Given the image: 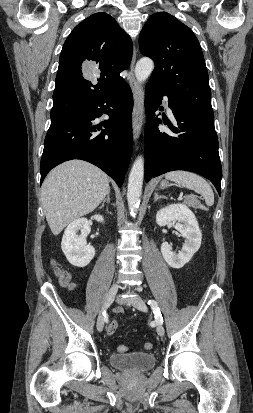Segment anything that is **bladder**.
Returning a JSON list of instances; mask_svg holds the SVG:
<instances>
[{
  "mask_svg": "<svg viewBox=\"0 0 253 413\" xmlns=\"http://www.w3.org/2000/svg\"><path fill=\"white\" fill-rule=\"evenodd\" d=\"M110 364L120 370L144 372L156 364V357L150 352L113 353L109 357Z\"/></svg>",
  "mask_w": 253,
  "mask_h": 413,
  "instance_id": "1",
  "label": "bladder"
}]
</instances>
